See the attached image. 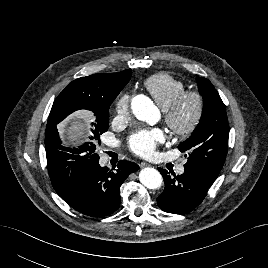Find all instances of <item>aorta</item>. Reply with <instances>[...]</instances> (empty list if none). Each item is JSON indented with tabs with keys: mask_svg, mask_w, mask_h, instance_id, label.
Masks as SVG:
<instances>
[{
	"mask_svg": "<svg viewBox=\"0 0 268 268\" xmlns=\"http://www.w3.org/2000/svg\"><path fill=\"white\" fill-rule=\"evenodd\" d=\"M131 108L137 119L146 121L150 125L158 122L160 113L153 102L144 95H137L132 99ZM140 182L148 189H157L162 185V176L154 168H144L139 173Z\"/></svg>",
	"mask_w": 268,
	"mask_h": 268,
	"instance_id": "762f6f07",
	"label": "aorta"
}]
</instances>
